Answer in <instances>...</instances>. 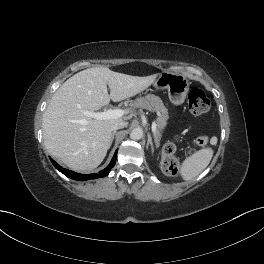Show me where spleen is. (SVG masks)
Segmentation results:
<instances>
[{
    "label": "spleen",
    "instance_id": "obj_1",
    "mask_svg": "<svg viewBox=\"0 0 264 264\" xmlns=\"http://www.w3.org/2000/svg\"><path fill=\"white\" fill-rule=\"evenodd\" d=\"M213 149L210 147L200 149L187 157L180 166L181 177L188 181L197 177L210 163Z\"/></svg>",
    "mask_w": 264,
    "mask_h": 264
}]
</instances>
